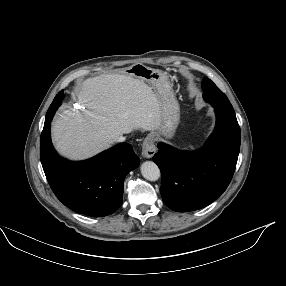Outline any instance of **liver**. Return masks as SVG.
<instances>
[{
  "instance_id": "1",
  "label": "liver",
  "mask_w": 286,
  "mask_h": 286,
  "mask_svg": "<svg viewBox=\"0 0 286 286\" xmlns=\"http://www.w3.org/2000/svg\"><path fill=\"white\" fill-rule=\"evenodd\" d=\"M78 99L87 109L65 111L52 126L57 151L70 159L91 157L134 129L161 127L158 95L130 75L112 73L87 79Z\"/></svg>"
}]
</instances>
